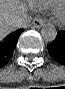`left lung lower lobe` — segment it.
Returning a JSON list of instances; mask_svg holds the SVG:
<instances>
[{
    "label": "left lung lower lobe",
    "mask_w": 65,
    "mask_h": 89,
    "mask_svg": "<svg viewBox=\"0 0 65 89\" xmlns=\"http://www.w3.org/2000/svg\"><path fill=\"white\" fill-rule=\"evenodd\" d=\"M50 56L65 66V29L58 32L55 40L47 46Z\"/></svg>",
    "instance_id": "1"
}]
</instances>
